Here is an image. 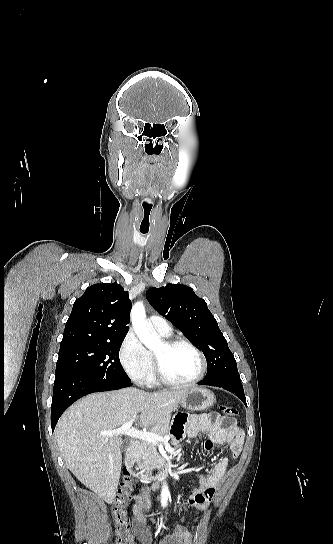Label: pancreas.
I'll return each instance as SVG.
<instances>
[{"instance_id":"1","label":"pancreas","mask_w":333,"mask_h":544,"mask_svg":"<svg viewBox=\"0 0 333 544\" xmlns=\"http://www.w3.org/2000/svg\"><path fill=\"white\" fill-rule=\"evenodd\" d=\"M169 424H170V418H166L156 424L150 432L156 433L160 436H164L168 433L169 430ZM134 458L137 461H142L143 464L149 465L152 464L160 459L159 453L156 450V447L153 443H150L148 441L142 440L139 444H137L135 452H134Z\"/></svg>"}]
</instances>
